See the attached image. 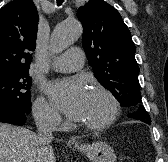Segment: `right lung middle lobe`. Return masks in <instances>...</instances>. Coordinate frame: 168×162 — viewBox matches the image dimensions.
<instances>
[{
	"label": "right lung middle lobe",
	"instance_id": "1",
	"mask_svg": "<svg viewBox=\"0 0 168 162\" xmlns=\"http://www.w3.org/2000/svg\"><path fill=\"white\" fill-rule=\"evenodd\" d=\"M31 84L28 71L0 76V109L30 113Z\"/></svg>",
	"mask_w": 168,
	"mask_h": 162
}]
</instances>
